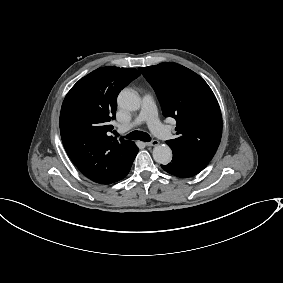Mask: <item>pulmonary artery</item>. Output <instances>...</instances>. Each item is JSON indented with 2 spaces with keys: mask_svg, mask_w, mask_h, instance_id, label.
Segmentation results:
<instances>
[{
  "mask_svg": "<svg viewBox=\"0 0 283 283\" xmlns=\"http://www.w3.org/2000/svg\"><path fill=\"white\" fill-rule=\"evenodd\" d=\"M157 109L154 107V101L151 95L144 94L141 96L140 109L135 116L133 124H139L145 119V123L150 130L165 140H170L173 137V132L167 127L163 126L156 117ZM131 125H118V131L124 133L130 129Z\"/></svg>",
  "mask_w": 283,
  "mask_h": 283,
  "instance_id": "obj_1",
  "label": "pulmonary artery"
}]
</instances>
